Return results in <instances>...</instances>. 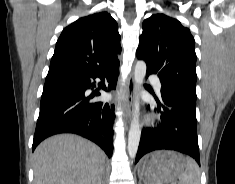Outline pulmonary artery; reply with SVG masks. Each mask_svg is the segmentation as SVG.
Returning a JSON list of instances; mask_svg holds the SVG:
<instances>
[{
    "label": "pulmonary artery",
    "mask_w": 235,
    "mask_h": 184,
    "mask_svg": "<svg viewBox=\"0 0 235 184\" xmlns=\"http://www.w3.org/2000/svg\"><path fill=\"white\" fill-rule=\"evenodd\" d=\"M150 79H151V81H152L154 87L156 88V90H157L158 92H160L161 83H160L159 79H158L155 75H152V76L150 77Z\"/></svg>",
    "instance_id": "1"
}]
</instances>
